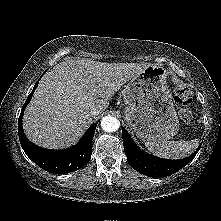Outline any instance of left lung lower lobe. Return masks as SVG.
Instances as JSON below:
<instances>
[{
  "mask_svg": "<svg viewBox=\"0 0 221 221\" xmlns=\"http://www.w3.org/2000/svg\"><path fill=\"white\" fill-rule=\"evenodd\" d=\"M122 134L124 150L129 165L136 171L154 178H163L179 171L195 157L201 147L200 145L198 149L187 158L168 160L141 151L124 128H122Z\"/></svg>",
  "mask_w": 221,
  "mask_h": 221,
  "instance_id": "1",
  "label": "left lung lower lobe"
}]
</instances>
